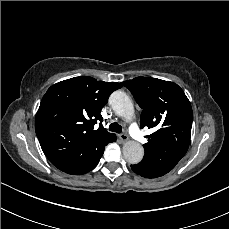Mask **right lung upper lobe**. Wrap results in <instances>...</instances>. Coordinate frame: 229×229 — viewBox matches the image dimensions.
Returning <instances> with one entry per match:
<instances>
[{"label":"right lung upper lobe","mask_w":229,"mask_h":229,"mask_svg":"<svg viewBox=\"0 0 229 229\" xmlns=\"http://www.w3.org/2000/svg\"><path fill=\"white\" fill-rule=\"evenodd\" d=\"M116 82L82 76L51 86L40 103L35 131L49 161L59 170L78 174L99 151L116 138L100 123L101 109L110 94L121 88Z\"/></svg>","instance_id":"cb5924a9"}]
</instances>
